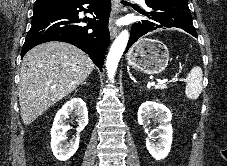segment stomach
I'll return each instance as SVG.
<instances>
[{"instance_id": "0dacf381", "label": "stomach", "mask_w": 227, "mask_h": 166, "mask_svg": "<svg viewBox=\"0 0 227 166\" xmlns=\"http://www.w3.org/2000/svg\"><path fill=\"white\" fill-rule=\"evenodd\" d=\"M127 61L134 69L153 75L165 70L169 62L166 45L155 39L142 38L127 53Z\"/></svg>"}]
</instances>
